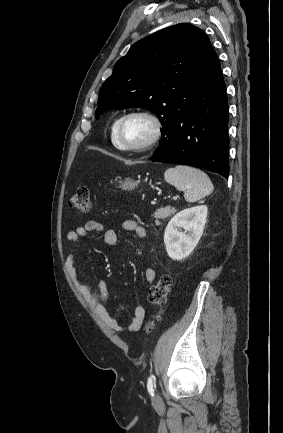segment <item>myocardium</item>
<instances>
[{"label":"myocardium","instance_id":"myocardium-1","mask_svg":"<svg viewBox=\"0 0 283 433\" xmlns=\"http://www.w3.org/2000/svg\"><path fill=\"white\" fill-rule=\"evenodd\" d=\"M134 116H143L149 119L153 124V133L151 137L143 143L136 144V145H127L124 144L121 140V130L125 121ZM163 132H164V123L158 114L147 109H135L121 116L115 128L114 136H115V141L117 143V146L121 150L130 151V152H148L157 146V144L162 139Z\"/></svg>","mask_w":283,"mask_h":433}]
</instances>
